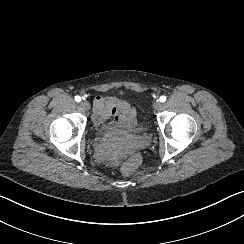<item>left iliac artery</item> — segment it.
<instances>
[{"instance_id":"obj_1","label":"left iliac artery","mask_w":244,"mask_h":244,"mask_svg":"<svg viewBox=\"0 0 244 244\" xmlns=\"http://www.w3.org/2000/svg\"><path fill=\"white\" fill-rule=\"evenodd\" d=\"M166 101V97L165 96H161L160 97V102H165Z\"/></svg>"}]
</instances>
